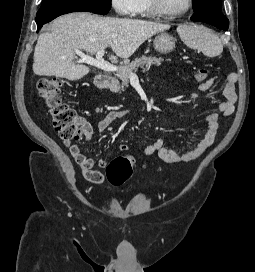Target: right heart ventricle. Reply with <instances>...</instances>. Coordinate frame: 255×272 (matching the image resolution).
<instances>
[{
  "mask_svg": "<svg viewBox=\"0 0 255 272\" xmlns=\"http://www.w3.org/2000/svg\"><path fill=\"white\" fill-rule=\"evenodd\" d=\"M137 14L144 17H154L156 15L151 8L150 0H138Z\"/></svg>",
  "mask_w": 255,
  "mask_h": 272,
  "instance_id": "1",
  "label": "right heart ventricle"
}]
</instances>
